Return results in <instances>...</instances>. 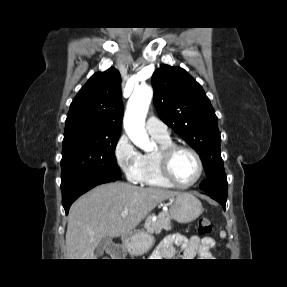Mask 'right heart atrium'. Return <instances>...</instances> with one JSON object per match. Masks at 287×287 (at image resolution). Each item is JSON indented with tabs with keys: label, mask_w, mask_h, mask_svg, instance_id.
I'll return each mask as SVG.
<instances>
[{
	"label": "right heart atrium",
	"mask_w": 287,
	"mask_h": 287,
	"mask_svg": "<svg viewBox=\"0 0 287 287\" xmlns=\"http://www.w3.org/2000/svg\"><path fill=\"white\" fill-rule=\"evenodd\" d=\"M114 157L127 179L133 183H139L142 154L126 134L118 138L114 147Z\"/></svg>",
	"instance_id": "obj_1"
}]
</instances>
